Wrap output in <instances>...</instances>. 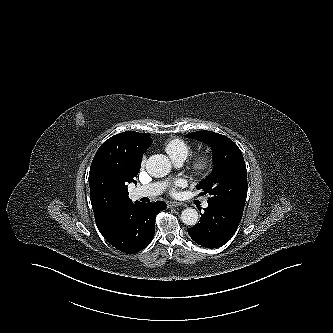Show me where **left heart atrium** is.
Here are the masks:
<instances>
[{
    "instance_id": "39dd6f15",
    "label": "left heart atrium",
    "mask_w": 333,
    "mask_h": 333,
    "mask_svg": "<svg viewBox=\"0 0 333 333\" xmlns=\"http://www.w3.org/2000/svg\"><path fill=\"white\" fill-rule=\"evenodd\" d=\"M184 184H185V181H184V180H182V179L177 180V181L174 183V185H173V187H172V189H171L172 193L175 192L176 187L183 186Z\"/></svg>"
}]
</instances>
